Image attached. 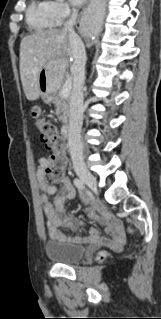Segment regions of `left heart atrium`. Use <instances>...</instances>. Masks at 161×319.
<instances>
[{
  "label": "left heart atrium",
  "mask_w": 161,
  "mask_h": 319,
  "mask_svg": "<svg viewBox=\"0 0 161 319\" xmlns=\"http://www.w3.org/2000/svg\"><path fill=\"white\" fill-rule=\"evenodd\" d=\"M71 2L74 5H81L85 2V0H71Z\"/></svg>",
  "instance_id": "obj_1"
}]
</instances>
